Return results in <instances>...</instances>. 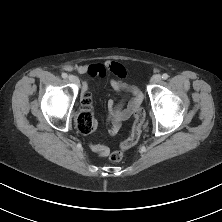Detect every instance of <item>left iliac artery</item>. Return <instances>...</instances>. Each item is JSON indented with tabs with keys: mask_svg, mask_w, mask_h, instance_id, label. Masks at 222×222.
<instances>
[{
	"mask_svg": "<svg viewBox=\"0 0 222 222\" xmlns=\"http://www.w3.org/2000/svg\"><path fill=\"white\" fill-rule=\"evenodd\" d=\"M168 77H169V75H168L167 73H164V74L162 75V79H164V80L168 79Z\"/></svg>",
	"mask_w": 222,
	"mask_h": 222,
	"instance_id": "left-iliac-artery-1",
	"label": "left iliac artery"
}]
</instances>
